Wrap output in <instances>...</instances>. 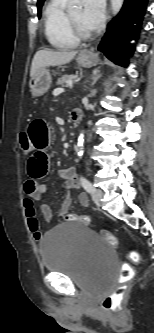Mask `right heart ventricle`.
<instances>
[{"mask_svg": "<svg viewBox=\"0 0 154 333\" xmlns=\"http://www.w3.org/2000/svg\"><path fill=\"white\" fill-rule=\"evenodd\" d=\"M64 2L49 0L43 13L45 36L52 47L61 50L73 49L79 44L67 23Z\"/></svg>", "mask_w": 154, "mask_h": 333, "instance_id": "right-heart-ventricle-1", "label": "right heart ventricle"}]
</instances>
